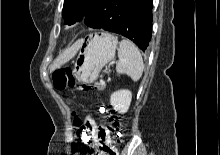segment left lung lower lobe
<instances>
[{"mask_svg": "<svg viewBox=\"0 0 220 155\" xmlns=\"http://www.w3.org/2000/svg\"><path fill=\"white\" fill-rule=\"evenodd\" d=\"M152 0H98L85 24L123 35L145 51L152 34Z\"/></svg>", "mask_w": 220, "mask_h": 155, "instance_id": "obj_1", "label": "left lung lower lobe"}]
</instances>
